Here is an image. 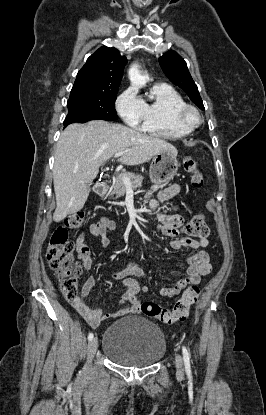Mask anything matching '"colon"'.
I'll list each match as a JSON object with an SVG mask.
<instances>
[{
    "instance_id": "1",
    "label": "colon",
    "mask_w": 266,
    "mask_h": 415,
    "mask_svg": "<svg viewBox=\"0 0 266 415\" xmlns=\"http://www.w3.org/2000/svg\"><path fill=\"white\" fill-rule=\"evenodd\" d=\"M184 169L191 174L192 185L201 188L203 175L198 170V161L194 157H187L184 160ZM84 216V212H77L67 217L64 225L53 232L46 252L48 265L60 278L61 291L69 302L79 297L78 279L82 272V265L74 261V244L68 238V229H79L84 222ZM184 232L195 238H206L209 234V227L204 215H194L184 227ZM199 294L200 289L197 286H191L184 291L171 309L163 308L153 302H145L141 305V312L165 324L182 322L187 319L190 308L197 301Z\"/></svg>"
}]
</instances>
